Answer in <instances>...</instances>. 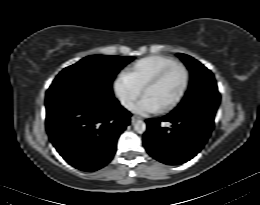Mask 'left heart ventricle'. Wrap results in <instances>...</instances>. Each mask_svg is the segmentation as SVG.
<instances>
[{"label":"left heart ventricle","instance_id":"1","mask_svg":"<svg viewBox=\"0 0 260 205\" xmlns=\"http://www.w3.org/2000/svg\"><path fill=\"white\" fill-rule=\"evenodd\" d=\"M184 82V72L179 68L173 69L158 84L148 90L145 96L152 99L161 108L178 96Z\"/></svg>","mask_w":260,"mask_h":205}]
</instances>
